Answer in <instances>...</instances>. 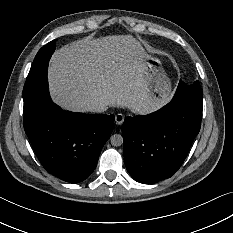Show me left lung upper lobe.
I'll return each mask as SVG.
<instances>
[{
	"instance_id": "1",
	"label": "left lung upper lobe",
	"mask_w": 233,
	"mask_h": 233,
	"mask_svg": "<svg viewBox=\"0 0 233 233\" xmlns=\"http://www.w3.org/2000/svg\"><path fill=\"white\" fill-rule=\"evenodd\" d=\"M189 86L195 87V88H199L200 84L198 81L194 82L193 84H190Z\"/></svg>"
}]
</instances>
